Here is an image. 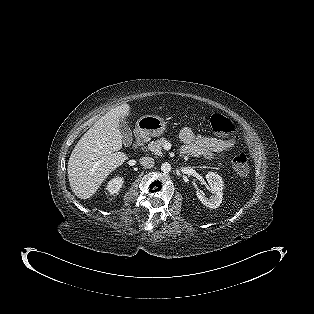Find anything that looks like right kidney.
<instances>
[{
	"label": "right kidney",
	"instance_id": "obj_1",
	"mask_svg": "<svg viewBox=\"0 0 314 314\" xmlns=\"http://www.w3.org/2000/svg\"><path fill=\"white\" fill-rule=\"evenodd\" d=\"M122 184H123V178L116 177L108 182L106 189L112 195L117 194L120 188L122 187Z\"/></svg>",
	"mask_w": 314,
	"mask_h": 314
}]
</instances>
